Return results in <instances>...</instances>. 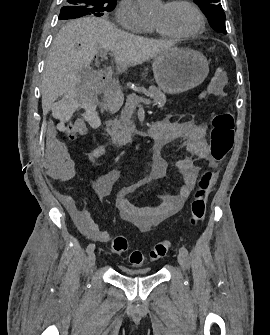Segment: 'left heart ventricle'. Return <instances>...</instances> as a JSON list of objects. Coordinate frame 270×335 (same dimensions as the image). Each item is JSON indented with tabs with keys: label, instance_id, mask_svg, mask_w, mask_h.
I'll list each match as a JSON object with an SVG mask.
<instances>
[{
	"label": "left heart ventricle",
	"instance_id": "b2bd125f",
	"mask_svg": "<svg viewBox=\"0 0 270 335\" xmlns=\"http://www.w3.org/2000/svg\"><path fill=\"white\" fill-rule=\"evenodd\" d=\"M149 21L159 30L168 34L189 33L196 30L199 25L196 14L185 4L174 8L163 4Z\"/></svg>",
	"mask_w": 270,
	"mask_h": 335
}]
</instances>
